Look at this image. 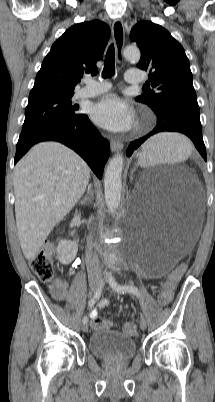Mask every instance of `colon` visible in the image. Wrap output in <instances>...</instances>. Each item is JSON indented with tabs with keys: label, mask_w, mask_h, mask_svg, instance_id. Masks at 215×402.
Segmentation results:
<instances>
[{
	"label": "colon",
	"mask_w": 215,
	"mask_h": 402,
	"mask_svg": "<svg viewBox=\"0 0 215 402\" xmlns=\"http://www.w3.org/2000/svg\"><path fill=\"white\" fill-rule=\"evenodd\" d=\"M30 267L37 277L45 282L50 283L54 279V269L51 259V247L45 246L39 254H37L31 261ZM185 270V265H179L170 275V278L164 283L163 289L160 291L159 301L162 305H167L173 296L175 282H177L182 276ZM53 295L56 298H61L63 291L59 285H55L52 290ZM109 326V322L101 319H95L92 322V327L95 330H99ZM123 331L134 336L137 334V326L133 322H127L123 325Z\"/></svg>",
	"instance_id": "colon-1"
}]
</instances>
